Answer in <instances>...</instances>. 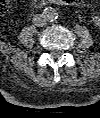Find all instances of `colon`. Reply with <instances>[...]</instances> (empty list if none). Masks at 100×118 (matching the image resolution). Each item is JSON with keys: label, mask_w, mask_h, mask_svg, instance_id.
Masks as SVG:
<instances>
[{"label": "colon", "mask_w": 100, "mask_h": 118, "mask_svg": "<svg viewBox=\"0 0 100 118\" xmlns=\"http://www.w3.org/2000/svg\"><path fill=\"white\" fill-rule=\"evenodd\" d=\"M77 0H66V3H76ZM7 2L8 0H0V9L1 11H5L6 7H7Z\"/></svg>", "instance_id": "colon-1"}]
</instances>
